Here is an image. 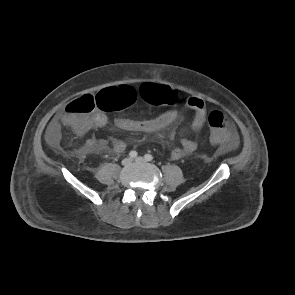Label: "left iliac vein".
I'll return each instance as SVG.
<instances>
[{"mask_svg":"<svg viewBox=\"0 0 295 295\" xmlns=\"http://www.w3.org/2000/svg\"><path fill=\"white\" fill-rule=\"evenodd\" d=\"M136 162H145L146 160L143 157H137L135 159Z\"/></svg>","mask_w":295,"mask_h":295,"instance_id":"left-iliac-vein-1","label":"left iliac vein"}]
</instances>
